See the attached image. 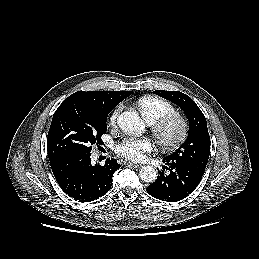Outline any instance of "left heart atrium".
I'll return each instance as SVG.
<instances>
[{"mask_svg": "<svg viewBox=\"0 0 259 259\" xmlns=\"http://www.w3.org/2000/svg\"><path fill=\"white\" fill-rule=\"evenodd\" d=\"M152 144L148 139L125 138L115 147V151L122 157L132 161H140L145 153L150 152Z\"/></svg>", "mask_w": 259, "mask_h": 259, "instance_id": "left-heart-atrium-1", "label": "left heart atrium"}]
</instances>
